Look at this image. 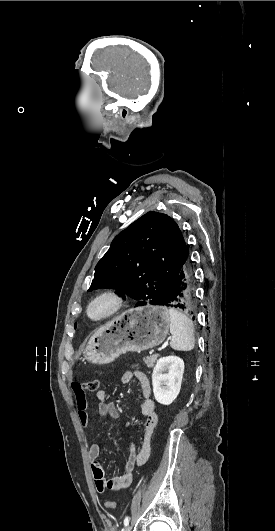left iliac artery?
Segmentation results:
<instances>
[{"label": "left iliac artery", "instance_id": "left-iliac-artery-1", "mask_svg": "<svg viewBox=\"0 0 275 531\" xmlns=\"http://www.w3.org/2000/svg\"><path fill=\"white\" fill-rule=\"evenodd\" d=\"M129 524V517L127 516L125 519H124V525L125 526H128Z\"/></svg>", "mask_w": 275, "mask_h": 531}]
</instances>
